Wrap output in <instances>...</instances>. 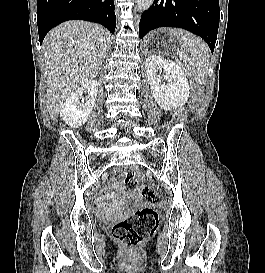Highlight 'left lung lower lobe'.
I'll return each mask as SVG.
<instances>
[{
	"label": "left lung lower lobe",
	"mask_w": 265,
	"mask_h": 273,
	"mask_svg": "<svg viewBox=\"0 0 265 273\" xmlns=\"http://www.w3.org/2000/svg\"><path fill=\"white\" fill-rule=\"evenodd\" d=\"M219 18V0H154L142 13L139 37L159 27H179L201 36L213 53Z\"/></svg>",
	"instance_id": "obj_1"
}]
</instances>
